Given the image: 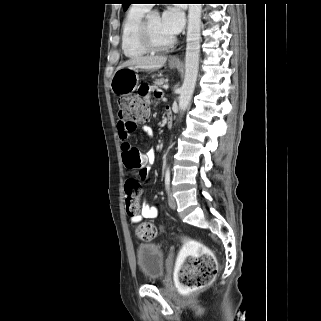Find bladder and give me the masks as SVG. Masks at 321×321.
<instances>
[{"instance_id":"bladder-1","label":"bladder","mask_w":321,"mask_h":321,"mask_svg":"<svg viewBox=\"0 0 321 321\" xmlns=\"http://www.w3.org/2000/svg\"><path fill=\"white\" fill-rule=\"evenodd\" d=\"M139 270L145 280L158 282L164 275V255L154 243H141L136 249Z\"/></svg>"}]
</instances>
